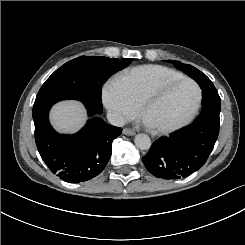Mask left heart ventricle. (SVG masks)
<instances>
[{
    "instance_id": "left-heart-ventricle-1",
    "label": "left heart ventricle",
    "mask_w": 245,
    "mask_h": 245,
    "mask_svg": "<svg viewBox=\"0 0 245 245\" xmlns=\"http://www.w3.org/2000/svg\"><path fill=\"white\" fill-rule=\"evenodd\" d=\"M194 88L187 82H177L159 89L148 98L142 117L147 125H164L181 120L191 109Z\"/></svg>"
}]
</instances>
